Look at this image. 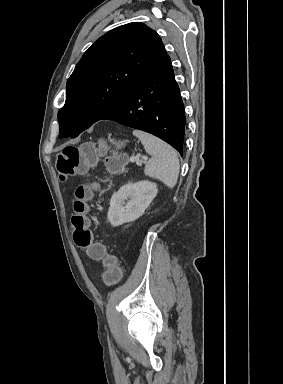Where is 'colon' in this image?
<instances>
[{
    "label": "colon",
    "mask_w": 283,
    "mask_h": 384,
    "mask_svg": "<svg viewBox=\"0 0 283 384\" xmlns=\"http://www.w3.org/2000/svg\"><path fill=\"white\" fill-rule=\"evenodd\" d=\"M104 151L102 144L87 142L80 146H66L57 155L56 168L61 179L79 175L92 167L99 155ZM107 171L116 174L122 171L126 159L122 155L110 154L105 158ZM97 184H84L77 187L73 203L71 223L75 244L87 251L94 260H101L105 267L103 283L110 287L118 283L122 273L116 256L107 251L101 242L93 240L90 230L89 202L93 197Z\"/></svg>",
    "instance_id": "colon-1"
}]
</instances>
